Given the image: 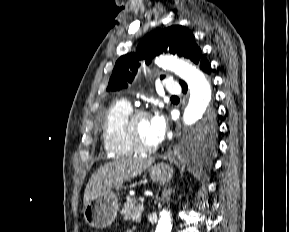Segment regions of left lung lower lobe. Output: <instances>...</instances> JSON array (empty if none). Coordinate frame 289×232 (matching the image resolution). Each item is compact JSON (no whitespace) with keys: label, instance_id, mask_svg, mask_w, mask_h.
<instances>
[{"label":"left lung lower lobe","instance_id":"0a47b994","mask_svg":"<svg viewBox=\"0 0 289 232\" xmlns=\"http://www.w3.org/2000/svg\"><path fill=\"white\" fill-rule=\"evenodd\" d=\"M199 67L206 74L211 73V65H210L209 61L204 56H202L200 59ZM181 86H182L183 92L186 93L187 92V85L183 82V83H181Z\"/></svg>","mask_w":289,"mask_h":232}]
</instances>
